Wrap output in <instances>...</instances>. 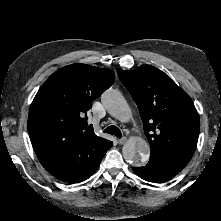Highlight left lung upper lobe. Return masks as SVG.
I'll use <instances>...</instances> for the list:
<instances>
[{"label": "left lung upper lobe", "instance_id": "left-lung-upper-lobe-1", "mask_svg": "<svg viewBox=\"0 0 221 221\" xmlns=\"http://www.w3.org/2000/svg\"><path fill=\"white\" fill-rule=\"evenodd\" d=\"M117 73L138 106L151 147L150 160L181 171L195 152L200 131L191 98L156 67L117 69Z\"/></svg>", "mask_w": 221, "mask_h": 221}]
</instances>
